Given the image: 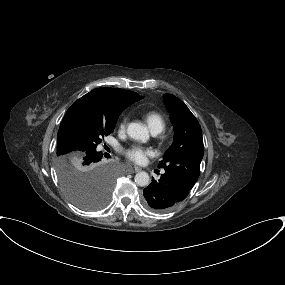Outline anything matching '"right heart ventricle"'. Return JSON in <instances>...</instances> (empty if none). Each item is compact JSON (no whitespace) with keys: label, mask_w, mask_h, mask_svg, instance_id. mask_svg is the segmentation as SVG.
Returning a JSON list of instances; mask_svg holds the SVG:
<instances>
[{"label":"right heart ventricle","mask_w":285,"mask_h":285,"mask_svg":"<svg viewBox=\"0 0 285 285\" xmlns=\"http://www.w3.org/2000/svg\"><path fill=\"white\" fill-rule=\"evenodd\" d=\"M145 117H146V121H147V123H148V125L152 131L161 132L165 129L166 120L164 119V117L160 113L150 111V112L146 113Z\"/></svg>","instance_id":"obj_1"}]
</instances>
